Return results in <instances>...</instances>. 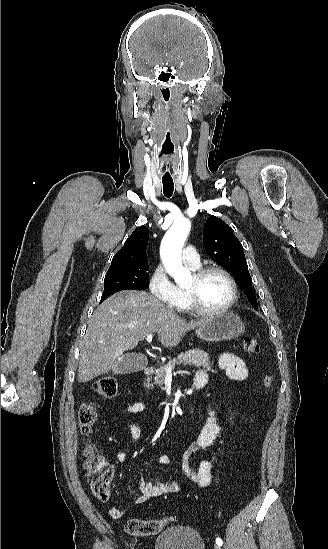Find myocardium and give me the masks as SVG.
I'll return each mask as SVG.
<instances>
[{
	"instance_id": "myocardium-1",
	"label": "myocardium",
	"mask_w": 328,
	"mask_h": 549,
	"mask_svg": "<svg viewBox=\"0 0 328 549\" xmlns=\"http://www.w3.org/2000/svg\"><path fill=\"white\" fill-rule=\"evenodd\" d=\"M187 269L192 270L191 275L195 281L200 280L207 273L217 270L227 278V280L231 285V296L228 302L224 304L222 307H219L216 309H206L201 307L200 305L202 304V302L198 299L194 288L184 287L187 299L189 301L187 308L191 312L195 313L198 317L219 316L227 313L233 308L238 298V284L236 279L232 275V273L228 270V268L225 265L218 262H206V263H200L198 266L193 268L188 267Z\"/></svg>"
}]
</instances>
